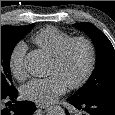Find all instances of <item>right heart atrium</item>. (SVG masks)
Returning <instances> with one entry per match:
<instances>
[{"label": "right heart atrium", "mask_w": 115, "mask_h": 115, "mask_svg": "<svg viewBox=\"0 0 115 115\" xmlns=\"http://www.w3.org/2000/svg\"><path fill=\"white\" fill-rule=\"evenodd\" d=\"M26 52L27 45L24 42H18L12 48L8 59L10 72L19 81L25 80L28 75L25 66Z\"/></svg>", "instance_id": "obj_1"}]
</instances>
